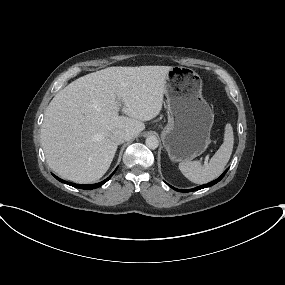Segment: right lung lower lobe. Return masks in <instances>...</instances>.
Instances as JSON below:
<instances>
[{
	"label": "right lung lower lobe",
	"mask_w": 285,
	"mask_h": 285,
	"mask_svg": "<svg viewBox=\"0 0 285 285\" xmlns=\"http://www.w3.org/2000/svg\"><path fill=\"white\" fill-rule=\"evenodd\" d=\"M117 170V169H116ZM115 170V171H116ZM114 171V172H115ZM114 172L105 180H103L102 182L96 183V184H91V185H83V184H75V183H71V182H67L64 181L62 179H60L59 177L55 176L54 174H52L57 180H59L60 182H63L65 184L71 185L73 187L79 188V189H84V190H91V189H95L100 187L101 185H103L104 183H106L114 174Z\"/></svg>",
	"instance_id": "right-lung-lower-lobe-1"
}]
</instances>
